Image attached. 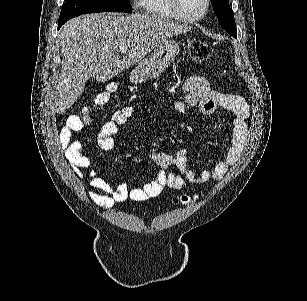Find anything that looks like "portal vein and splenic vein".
I'll return each mask as SVG.
<instances>
[{
    "label": "portal vein and splenic vein",
    "instance_id": "18ae733b",
    "mask_svg": "<svg viewBox=\"0 0 307 301\" xmlns=\"http://www.w3.org/2000/svg\"><path fill=\"white\" fill-rule=\"evenodd\" d=\"M128 46H120L119 52H127Z\"/></svg>",
    "mask_w": 307,
    "mask_h": 301
}]
</instances>
